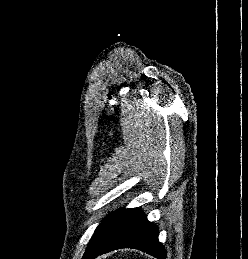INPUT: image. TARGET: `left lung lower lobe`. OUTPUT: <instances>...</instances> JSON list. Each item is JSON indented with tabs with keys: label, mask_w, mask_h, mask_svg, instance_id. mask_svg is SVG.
<instances>
[{
	"label": "left lung lower lobe",
	"mask_w": 248,
	"mask_h": 259,
	"mask_svg": "<svg viewBox=\"0 0 248 259\" xmlns=\"http://www.w3.org/2000/svg\"><path fill=\"white\" fill-rule=\"evenodd\" d=\"M134 248L158 259H166V251L158 241V228L150 223L139 208L122 209L102 224L91 238L83 259H94L102 253Z\"/></svg>",
	"instance_id": "left-lung-lower-lobe-1"
}]
</instances>
